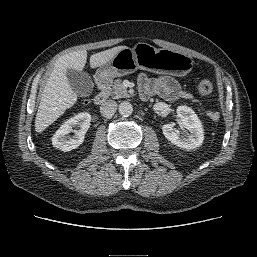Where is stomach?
Segmentation results:
<instances>
[{
  "label": "stomach",
  "mask_w": 257,
  "mask_h": 257,
  "mask_svg": "<svg viewBox=\"0 0 257 257\" xmlns=\"http://www.w3.org/2000/svg\"><path fill=\"white\" fill-rule=\"evenodd\" d=\"M190 56L169 49H157L147 43H138L133 48L122 49L111 61L96 71L100 80L134 73L137 69L160 74L184 76L193 68Z\"/></svg>",
  "instance_id": "1"
}]
</instances>
